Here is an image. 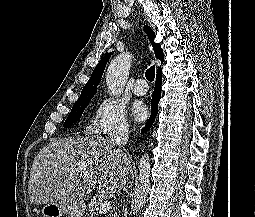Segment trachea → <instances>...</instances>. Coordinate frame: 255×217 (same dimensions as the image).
Segmentation results:
<instances>
[{
	"label": "trachea",
	"instance_id": "trachea-1",
	"mask_svg": "<svg viewBox=\"0 0 255 217\" xmlns=\"http://www.w3.org/2000/svg\"><path fill=\"white\" fill-rule=\"evenodd\" d=\"M145 77L150 82L154 81V78H155V67L154 66H151L150 68H148L146 70Z\"/></svg>",
	"mask_w": 255,
	"mask_h": 217
}]
</instances>
